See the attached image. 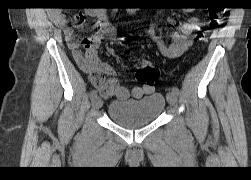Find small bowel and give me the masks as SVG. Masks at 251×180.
<instances>
[{
	"label": "small bowel",
	"instance_id": "small-bowel-1",
	"mask_svg": "<svg viewBox=\"0 0 251 180\" xmlns=\"http://www.w3.org/2000/svg\"><path fill=\"white\" fill-rule=\"evenodd\" d=\"M86 14L94 17L97 23L95 33L83 42V51L80 49L81 40L69 25L66 16L56 13L54 21L63 30L73 59L88 74L91 84L99 91L101 96L104 98L116 97L118 100H126L130 96L134 99H140L153 93V85H143L129 91L124 85L119 83L114 77V68L110 64L100 60L96 54L100 42L106 37L114 36L115 28L104 10L90 9L86 11ZM199 24L198 17H189L180 23L178 29L171 34L170 43H166L157 34L155 23L150 26L148 34L157 44L160 53L172 59L181 56L191 46L192 40L190 36L198 29Z\"/></svg>",
	"mask_w": 251,
	"mask_h": 180
}]
</instances>
